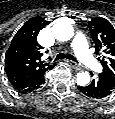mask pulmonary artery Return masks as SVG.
Instances as JSON below:
<instances>
[{
    "instance_id": "obj_1",
    "label": "pulmonary artery",
    "mask_w": 115,
    "mask_h": 119,
    "mask_svg": "<svg viewBox=\"0 0 115 119\" xmlns=\"http://www.w3.org/2000/svg\"><path fill=\"white\" fill-rule=\"evenodd\" d=\"M71 47L73 48L76 57L88 68L99 71L101 69L100 63L92 55L89 50L85 36L78 32L75 34Z\"/></svg>"
}]
</instances>
